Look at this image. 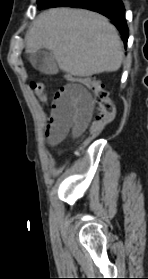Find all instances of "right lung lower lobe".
I'll return each instance as SVG.
<instances>
[{"label":"right lung lower lobe","mask_w":148,"mask_h":279,"mask_svg":"<svg viewBox=\"0 0 148 279\" xmlns=\"http://www.w3.org/2000/svg\"><path fill=\"white\" fill-rule=\"evenodd\" d=\"M68 6L84 8L110 18L122 35L125 46L128 40V27L125 20V9L121 0H49L45 8Z\"/></svg>","instance_id":"1"}]
</instances>
